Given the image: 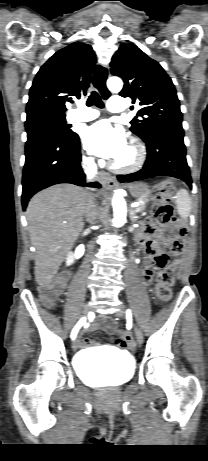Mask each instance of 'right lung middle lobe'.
<instances>
[{
    "instance_id": "1",
    "label": "right lung middle lobe",
    "mask_w": 208,
    "mask_h": 461,
    "mask_svg": "<svg viewBox=\"0 0 208 461\" xmlns=\"http://www.w3.org/2000/svg\"><path fill=\"white\" fill-rule=\"evenodd\" d=\"M25 128L27 132V142L43 134H58L63 137H71L74 134L66 124L65 116H27Z\"/></svg>"
}]
</instances>
